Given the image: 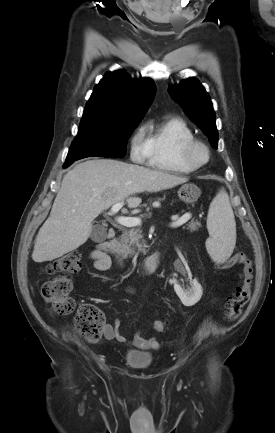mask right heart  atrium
I'll use <instances>...</instances> for the list:
<instances>
[{
	"instance_id": "1",
	"label": "right heart atrium",
	"mask_w": 275,
	"mask_h": 433,
	"mask_svg": "<svg viewBox=\"0 0 275 433\" xmlns=\"http://www.w3.org/2000/svg\"><path fill=\"white\" fill-rule=\"evenodd\" d=\"M130 156L137 163L144 162L148 157V148L143 128L137 129L131 136Z\"/></svg>"
}]
</instances>
